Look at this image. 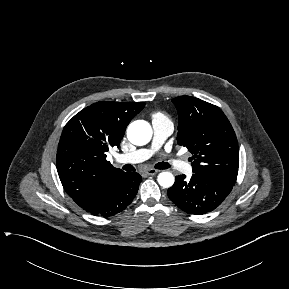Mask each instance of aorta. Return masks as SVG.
Instances as JSON below:
<instances>
[{"mask_svg":"<svg viewBox=\"0 0 289 289\" xmlns=\"http://www.w3.org/2000/svg\"><path fill=\"white\" fill-rule=\"evenodd\" d=\"M152 137V128L150 124L144 120H136L132 122L127 128L128 140L137 146L147 144ZM157 181L163 188H170L174 184V176L170 172H161Z\"/></svg>","mask_w":289,"mask_h":289,"instance_id":"obj_1","label":"aorta"}]
</instances>
